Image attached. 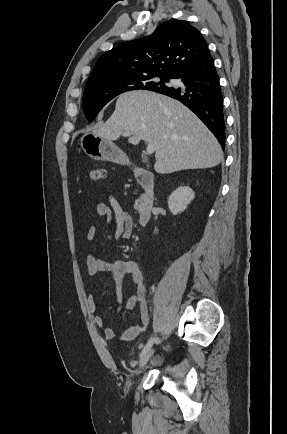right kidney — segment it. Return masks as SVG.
Masks as SVG:
<instances>
[{"mask_svg":"<svg viewBox=\"0 0 287 434\" xmlns=\"http://www.w3.org/2000/svg\"><path fill=\"white\" fill-rule=\"evenodd\" d=\"M194 191L189 186H180L168 197V207L173 215L183 212L194 199Z\"/></svg>","mask_w":287,"mask_h":434,"instance_id":"right-kidney-1","label":"right kidney"}]
</instances>
